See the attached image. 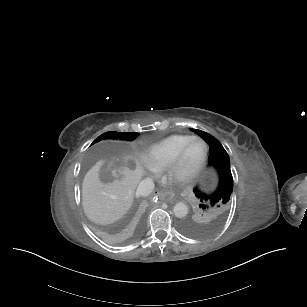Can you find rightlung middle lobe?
Here are the masks:
<instances>
[{"label": "right lung middle lobe", "instance_id": "1", "mask_svg": "<svg viewBox=\"0 0 307 307\" xmlns=\"http://www.w3.org/2000/svg\"><path fill=\"white\" fill-rule=\"evenodd\" d=\"M138 136V133H127V132H115L110 131L100 135L98 138L94 140V143L100 141L101 139H123V140H133Z\"/></svg>", "mask_w": 307, "mask_h": 307}]
</instances>
